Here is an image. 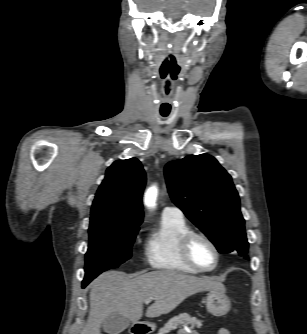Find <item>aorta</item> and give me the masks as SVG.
Returning a JSON list of instances; mask_svg holds the SVG:
<instances>
[{
    "label": "aorta",
    "mask_w": 307,
    "mask_h": 334,
    "mask_svg": "<svg viewBox=\"0 0 307 334\" xmlns=\"http://www.w3.org/2000/svg\"><path fill=\"white\" fill-rule=\"evenodd\" d=\"M157 195L158 189L155 185L147 189L144 196V203L148 208H153L156 206Z\"/></svg>",
    "instance_id": "obj_1"
}]
</instances>
